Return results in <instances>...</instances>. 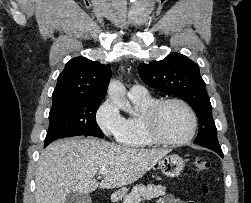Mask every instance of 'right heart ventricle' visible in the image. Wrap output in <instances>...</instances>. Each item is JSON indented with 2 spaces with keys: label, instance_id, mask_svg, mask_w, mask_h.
Here are the masks:
<instances>
[{
  "label": "right heart ventricle",
  "instance_id": "obj_1",
  "mask_svg": "<svg viewBox=\"0 0 251 203\" xmlns=\"http://www.w3.org/2000/svg\"><path fill=\"white\" fill-rule=\"evenodd\" d=\"M131 100L138 108L139 113L125 119L124 130L117 139L122 146L129 148L150 147L154 142H152L145 133L143 114L155 100L151 96L147 98H131Z\"/></svg>",
  "mask_w": 251,
  "mask_h": 203
}]
</instances>
